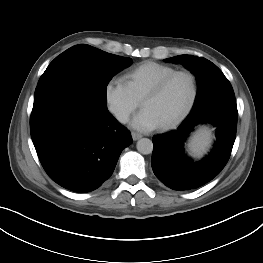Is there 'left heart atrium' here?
Masks as SVG:
<instances>
[{"instance_id":"obj_1","label":"left heart atrium","mask_w":263,"mask_h":263,"mask_svg":"<svg viewBox=\"0 0 263 263\" xmlns=\"http://www.w3.org/2000/svg\"><path fill=\"white\" fill-rule=\"evenodd\" d=\"M131 125L141 131H151L160 126L154 115L144 108L133 118Z\"/></svg>"}]
</instances>
